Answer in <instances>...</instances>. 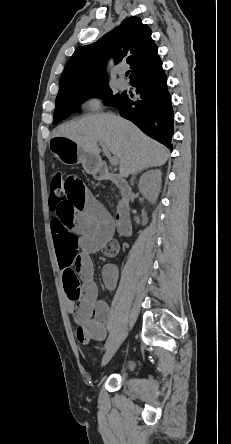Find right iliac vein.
<instances>
[{
	"label": "right iliac vein",
	"mask_w": 231,
	"mask_h": 444,
	"mask_svg": "<svg viewBox=\"0 0 231 444\" xmlns=\"http://www.w3.org/2000/svg\"><path fill=\"white\" fill-rule=\"evenodd\" d=\"M120 345V338L117 339L116 341H114L109 348L106 350L103 360H102V365H106L110 359L113 357V355L115 354V352L117 351L118 347Z\"/></svg>",
	"instance_id": "obj_1"
}]
</instances>
